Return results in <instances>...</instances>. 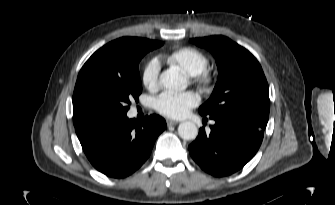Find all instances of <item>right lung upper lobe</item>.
<instances>
[{
	"mask_svg": "<svg viewBox=\"0 0 335 205\" xmlns=\"http://www.w3.org/2000/svg\"><path fill=\"white\" fill-rule=\"evenodd\" d=\"M143 43L152 41L144 38L123 37L112 41L99 50H97L81 68L77 82L85 77L90 76L97 71H118L127 63V57L123 50L118 49V46L126 42Z\"/></svg>",
	"mask_w": 335,
	"mask_h": 205,
	"instance_id": "cb5924a9",
	"label": "right lung upper lobe"
}]
</instances>
